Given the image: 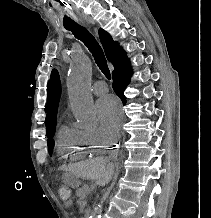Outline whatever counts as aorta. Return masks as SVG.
I'll use <instances>...</instances> for the list:
<instances>
[{"mask_svg": "<svg viewBox=\"0 0 211 218\" xmlns=\"http://www.w3.org/2000/svg\"><path fill=\"white\" fill-rule=\"evenodd\" d=\"M92 64L88 57H76L70 66L67 78V88L71 108L78 126L83 129H94L97 117L93 98L90 92ZM102 205L92 212L91 218H101Z\"/></svg>", "mask_w": 211, "mask_h": 218, "instance_id": "aorta-1", "label": "aorta"}]
</instances>
